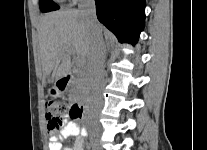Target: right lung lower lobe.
<instances>
[{
	"mask_svg": "<svg viewBox=\"0 0 207 150\" xmlns=\"http://www.w3.org/2000/svg\"><path fill=\"white\" fill-rule=\"evenodd\" d=\"M98 20L121 42L135 44L144 28L145 0H95Z\"/></svg>",
	"mask_w": 207,
	"mask_h": 150,
	"instance_id": "obj_1",
	"label": "right lung lower lobe"
}]
</instances>
